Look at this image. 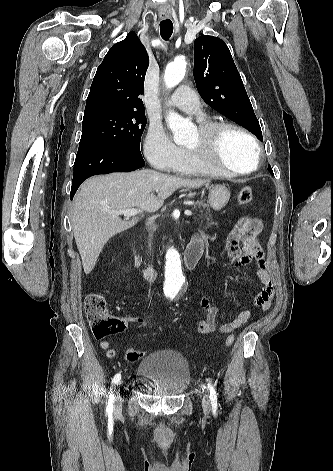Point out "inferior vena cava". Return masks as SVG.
Segmentation results:
<instances>
[{"label":"inferior vena cava","mask_w":333,"mask_h":471,"mask_svg":"<svg viewBox=\"0 0 333 471\" xmlns=\"http://www.w3.org/2000/svg\"><path fill=\"white\" fill-rule=\"evenodd\" d=\"M150 229L155 230V226L151 227ZM150 237H152V234H150ZM149 247H151V238H150V241H149Z\"/></svg>","instance_id":"inferior-vena-cava-1"}]
</instances>
